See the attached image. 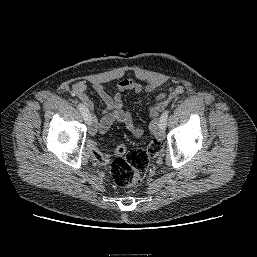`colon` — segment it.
Returning <instances> with one entry per match:
<instances>
[{
    "instance_id": "1",
    "label": "colon",
    "mask_w": 257,
    "mask_h": 257,
    "mask_svg": "<svg viewBox=\"0 0 257 257\" xmlns=\"http://www.w3.org/2000/svg\"><path fill=\"white\" fill-rule=\"evenodd\" d=\"M89 149L98 162L106 160L94 144ZM160 152L161 144L157 140L151 141L146 149L128 150L124 144L118 145L115 149L116 157L111 163V176L115 185L127 188L139 184L144 179L149 164Z\"/></svg>"
}]
</instances>
